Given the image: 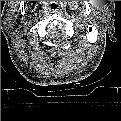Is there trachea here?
Wrapping results in <instances>:
<instances>
[{
	"instance_id": "trachea-1",
	"label": "trachea",
	"mask_w": 121,
	"mask_h": 121,
	"mask_svg": "<svg viewBox=\"0 0 121 121\" xmlns=\"http://www.w3.org/2000/svg\"><path fill=\"white\" fill-rule=\"evenodd\" d=\"M50 9L53 12H58L61 9V7L57 2H54L50 4Z\"/></svg>"
}]
</instances>
